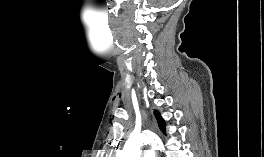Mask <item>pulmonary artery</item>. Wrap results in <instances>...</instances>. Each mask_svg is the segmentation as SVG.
<instances>
[{
    "label": "pulmonary artery",
    "instance_id": "pulmonary-artery-1",
    "mask_svg": "<svg viewBox=\"0 0 264 157\" xmlns=\"http://www.w3.org/2000/svg\"><path fill=\"white\" fill-rule=\"evenodd\" d=\"M143 157H155L152 150H147L144 152Z\"/></svg>",
    "mask_w": 264,
    "mask_h": 157
}]
</instances>
